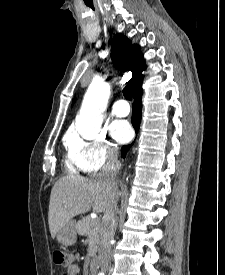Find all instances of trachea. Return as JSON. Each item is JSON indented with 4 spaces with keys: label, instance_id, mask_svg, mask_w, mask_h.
<instances>
[{
    "label": "trachea",
    "instance_id": "3493384b",
    "mask_svg": "<svg viewBox=\"0 0 225 275\" xmlns=\"http://www.w3.org/2000/svg\"><path fill=\"white\" fill-rule=\"evenodd\" d=\"M123 95L127 100L132 101V88L130 85L124 87Z\"/></svg>",
    "mask_w": 225,
    "mask_h": 275
}]
</instances>
